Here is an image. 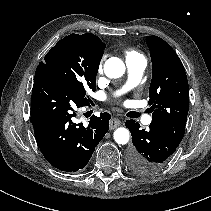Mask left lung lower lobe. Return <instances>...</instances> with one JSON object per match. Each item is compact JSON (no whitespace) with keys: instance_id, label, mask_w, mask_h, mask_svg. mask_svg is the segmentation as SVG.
<instances>
[{"instance_id":"1","label":"left lung lower lobe","mask_w":211,"mask_h":211,"mask_svg":"<svg viewBox=\"0 0 211 211\" xmlns=\"http://www.w3.org/2000/svg\"><path fill=\"white\" fill-rule=\"evenodd\" d=\"M132 135L133 146L128 151V164L137 175L149 176L158 173L170 160L179 144L156 128L140 129L135 120L125 123Z\"/></svg>"}]
</instances>
